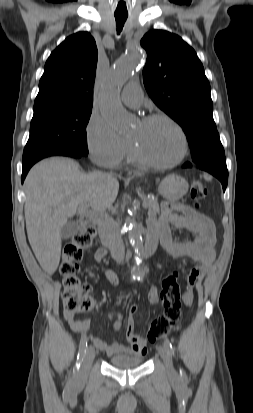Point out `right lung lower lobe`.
<instances>
[{"mask_svg":"<svg viewBox=\"0 0 253 413\" xmlns=\"http://www.w3.org/2000/svg\"><path fill=\"white\" fill-rule=\"evenodd\" d=\"M55 155H61V156H69V157H74V158H80L81 156H86L80 152H74V151H64V152H59L56 154H52V155H48V156H42V157H37V158H33V159H29L26 161H23L22 164V177H21V181L23 183L29 169L32 167L33 164H35L36 162H38L39 160L49 157V156H55Z\"/></svg>","mask_w":253,"mask_h":413,"instance_id":"right-lung-lower-lobe-1","label":"right lung lower lobe"}]
</instances>
